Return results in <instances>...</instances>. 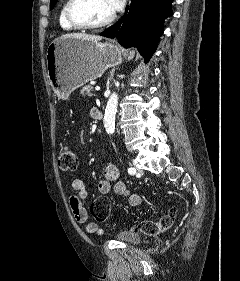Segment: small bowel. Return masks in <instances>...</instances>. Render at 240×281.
Returning <instances> with one entry per match:
<instances>
[{
	"instance_id": "1",
	"label": "small bowel",
	"mask_w": 240,
	"mask_h": 281,
	"mask_svg": "<svg viewBox=\"0 0 240 281\" xmlns=\"http://www.w3.org/2000/svg\"><path fill=\"white\" fill-rule=\"evenodd\" d=\"M94 111H90L91 117L94 118ZM119 170L113 165H107L102 172V179L98 182V191L101 194H108L111 190L116 194L127 198L130 206H137L141 202L139 195L132 193L128 190L126 184L119 179ZM73 194L70 196L69 204L75 220L85 225V230L91 234H102L103 230L100 229L96 223L88 220V213L83 205L87 197V191L84 182L81 179L72 181Z\"/></svg>"
}]
</instances>
